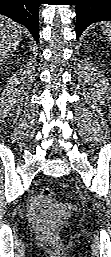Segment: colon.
I'll list each match as a JSON object with an SVG mask.
<instances>
[{
    "instance_id": "colon-1",
    "label": "colon",
    "mask_w": 111,
    "mask_h": 257,
    "mask_svg": "<svg viewBox=\"0 0 111 257\" xmlns=\"http://www.w3.org/2000/svg\"><path fill=\"white\" fill-rule=\"evenodd\" d=\"M52 197H53V190L49 187H42L36 198V202L42 206L47 204L56 208L57 210L61 209V207L58 204H55L53 202Z\"/></svg>"
}]
</instances>
